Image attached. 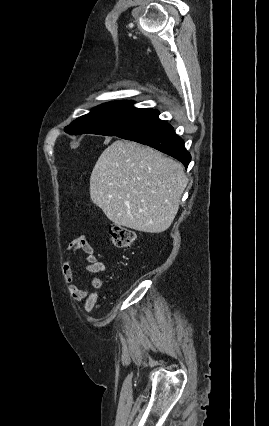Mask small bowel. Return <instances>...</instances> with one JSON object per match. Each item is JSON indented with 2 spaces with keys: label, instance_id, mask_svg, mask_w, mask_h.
<instances>
[{
  "label": "small bowel",
  "instance_id": "obj_1",
  "mask_svg": "<svg viewBox=\"0 0 269 426\" xmlns=\"http://www.w3.org/2000/svg\"><path fill=\"white\" fill-rule=\"evenodd\" d=\"M77 252H81L84 259L88 262L85 269V276L88 278L91 274L102 272L105 266L100 262L95 254L94 248L89 243L87 237L79 236L73 239L62 255V273L65 282L68 284V291L71 297L77 302H83L85 312H90L99 297L97 289L102 286V281L92 282V289H81L74 284V271L71 264V257Z\"/></svg>",
  "mask_w": 269,
  "mask_h": 426
}]
</instances>
